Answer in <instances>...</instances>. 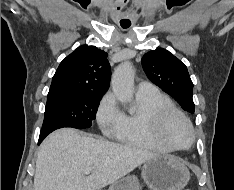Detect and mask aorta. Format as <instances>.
<instances>
[{
  "instance_id": "762f6f07",
  "label": "aorta",
  "mask_w": 234,
  "mask_h": 190,
  "mask_svg": "<svg viewBox=\"0 0 234 190\" xmlns=\"http://www.w3.org/2000/svg\"><path fill=\"white\" fill-rule=\"evenodd\" d=\"M133 82L132 64L125 61L115 69L111 81L113 93L120 102L124 103L133 98Z\"/></svg>"
}]
</instances>
